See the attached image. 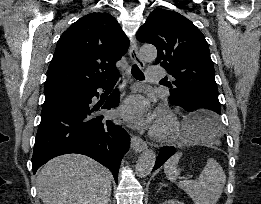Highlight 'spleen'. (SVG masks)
Listing matches in <instances>:
<instances>
[{
	"label": "spleen",
	"mask_w": 261,
	"mask_h": 204,
	"mask_svg": "<svg viewBox=\"0 0 261 204\" xmlns=\"http://www.w3.org/2000/svg\"><path fill=\"white\" fill-rule=\"evenodd\" d=\"M201 122L202 119L198 118L195 123L184 126L189 144L208 145L212 141L210 133L202 129ZM180 157L181 153H177L164 164V172L171 182L176 183L179 176L177 164ZM225 181L223 168L216 160L209 158L197 180H183L177 185L185 191L194 204H216L223 192Z\"/></svg>",
	"instance_id": "1"
}]
</instances>
